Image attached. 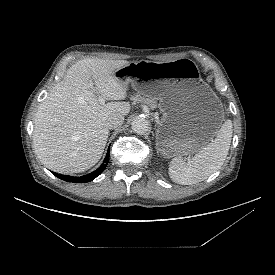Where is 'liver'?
<instances>
[{"mask_svg":"<svg viewBox=\"0 0 275 275\" xmlns=\"http://www.w3.org/2000/svg\"><path fill=\"white\" fill-rule=\"evenodd\" d=\"M127 64L126 60H80L40 104L33 144L47 168L58 173H80L100 160L109 133L107 118L115 113L125 116L131 106L120 101L100 104L90 80L104 99L123 100L127 89L115 71Z\"/></svg>","mask_w":275,"mask_h":275,"instance_id":"1","label":"liver"}]
</instances>
